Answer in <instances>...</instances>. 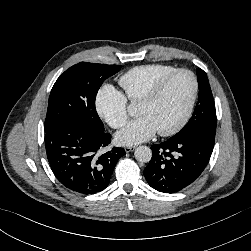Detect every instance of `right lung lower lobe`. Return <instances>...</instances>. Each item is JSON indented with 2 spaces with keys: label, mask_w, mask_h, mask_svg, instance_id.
Listing matches in <instances>:
<instances>
[{
  "label": "right lung lower lobe",
  "mask_w": 251,
  "mask_h": 251,
  "mask_svg": "<svg viewBox=\"0 0 251 251\" xmlns=\"http://www.w3.org/2000/svg\"><path fill=\"white\" fill-rule=\"evenodd\" d=\"M111 143V135L84 124L66 123L45 132L47 158L53 173L67 189L84 194L104 190L123 148L100 154Z\"/></svg>",
  "instance_id": "right-lung-lower-lobe-1"
}]
</instances>
